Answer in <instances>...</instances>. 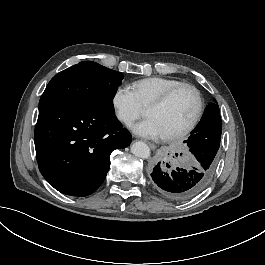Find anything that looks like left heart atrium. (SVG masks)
<instances>
[{
	"label": "left heart atrium",
	"instance_id": "39dd6f15",
	"mask_svg": "<svg viewBox=\"0 0 265 265\" xmlns=\"http://www.w3.org/2000/svg\"><path fill=\"white\" fill-rule=\"evenodd\" d=\"M133 132L144 138L161 139L165 137L164 132L153 118H147L133 125Z\"/></svg>",
	"mask_w": 265,
	"mask_h": 265
}]
</instances>
